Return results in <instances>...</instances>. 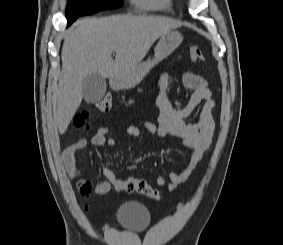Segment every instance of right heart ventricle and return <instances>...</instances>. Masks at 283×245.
<instances>
[{
    "mask_svg": "<svg viewBox=\"0 0 283 245\" xmlns=\"http://www.w3.org/2000/svg\"><path fill=\"white\" fill-rule=\"evenodd\" d=\"M133 6L143 11H163L172 10V0H130Z\"/></svg>",
    "mask_w": 283,
    "mask_h": 245,
    "instance_id": "obj_1",
    "label": "right heart ventricle"
}]
</instances>
